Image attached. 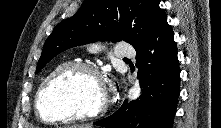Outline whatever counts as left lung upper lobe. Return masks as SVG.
Listing matches in <instances>:
<instances>
[{
	"label": "left lung upper lobe",
	"instance_id": "left-lung-upper-lobe-1",
	"mask_svg": "<svg viewBox=\"0 0 221 128\" xmlns=\"http://www.w3.org/2000/svg\"><path fill=\"white\" fill-rule=\"evenodd\" d=\"M160 0H85L79 11L60 22L47 38L38 73L60 52L95 41L124 40L134 48L144 43L166 16Z\"/></svg>",
	"mask_w": 221,
	"mask_h": 128
}]
</instances>
